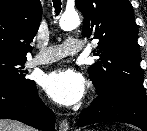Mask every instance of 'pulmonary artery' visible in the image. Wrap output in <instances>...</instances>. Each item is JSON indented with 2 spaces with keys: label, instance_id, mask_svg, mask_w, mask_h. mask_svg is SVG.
Returning <instances> with one entry per match:
<instances>
[{
  "label": "pulmonary artery",
  "instance_id": "obj_1",
  "mask_svg": "<svg viewBox=\"0 0 147 131\" xmlns=\"http://www.w3.org/2000/svg\"><path fill=\"white\" fill-rule=\"evenodd\" d=\"M82 49V44L74 38L66 39L61 45L42 48L32 60L33 65L55 62L69 55H75Z\"/></svg>",
  "mask_w": 147,
  "mask_h": 131
}]
</instances>
